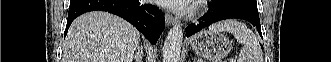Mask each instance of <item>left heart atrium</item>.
<instances>
[{"mask_svg": "<svg viewBox=\"0 0 331 62\" xmlns=\"http://www.w3.org/2000/svg\"><path fill=\"white\" fill-rule=\"evenodd\" d=\"M164 7L175 11H187L191 8L192 0H159Z\"/></svg>", "mask_w": 331, "mask_h": 62, "instance_id": "obj_1", "label": "left heart atrium"}]
</instances>
